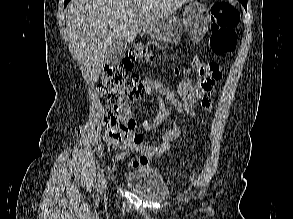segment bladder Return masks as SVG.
Instances as JSON below:
<instances>
[{
	"instance_id": "obj_1",
	"label": "bladder",
	"mask_w": 293,
	"mask_h": 219,
	"mask_svg": "<svg viewBox=\"0 0 293 219\" xmlns=\"http://www.w3.org/2000/svg\"><path fill=\"white\" fill-rule=\"evenodd\" d=\"M125 186L151 202H164L170 198V189L162 175L152 167H139L126 172L123 176Z\"/></svg>"
}]
</instances>
